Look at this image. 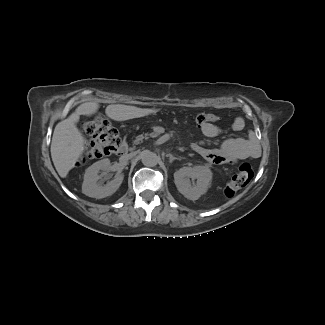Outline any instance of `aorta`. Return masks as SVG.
<instances>
[{"label":"aorta","instance_id":"obj_1","mask_svg":"<svg viewBox=\"0 0 325 325\" xmlns=\"http://www.w3.org/2000/svg\"><path fill=\"white\" fill-rule=\"evenodd\" d=\"M158 160H159V157L154 152H151L149 150H144L141 153V161H142L143 165H145L147 167L156 166L158 163Z\"/></svg>","mask_w":325,"mask_h":325}]
</instances>
